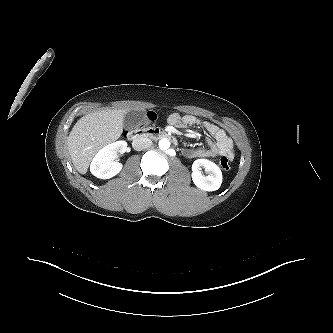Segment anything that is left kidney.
Wrapping results in <instances>:
<instances>
[{"instance_id":"1","label":"left kidney","mask_w":333,"mask_h":333,"mask_svg":"<svg viewBox=\"0 0 333 333\" xmlns=\"http://www.w3.org/2000/svg\"><path fill=\"white\" fill-rule=\"evenodd\" d=\"M205 169L207 176L202 172ZM192 180L194 184L204 191L218 190L222 183L220 168L210 160L197 159L192 165Z\"/></svg>"}]
</instances>
